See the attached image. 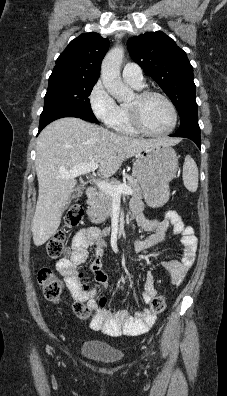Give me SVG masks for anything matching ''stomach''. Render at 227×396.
Returning a JSON list of instances; mask_svg holds the SVG:
<instances>
[{
    "label": "stomach",
    "mask_w": 227,
    "mask_h": 396,
    "mask_svg": "<svg viewBox=\"0 0 227 396\" xmlns=\"http://www.w3.org/2000/svg\"><path fill=\"white\" fill-rule=\"evenodd\" d=\"M177 168L178 157L170 146H152L138 153L133 164V175L149 206L161 207L167 203L169 182L175 177Z\"/></svg>",
    "instance_id": "0dacf381"
}]
</instances>
